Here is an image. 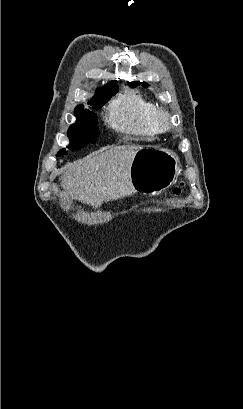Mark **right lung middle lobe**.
<instances>
[{"instance_id": "right-lung-middle-lobe-1", "label": "right lung middle lobe", "mask_w": 243, "mask_h": 409, "mask_svg": "<svg viewBox=\"0 0 243 409\" xmlns=\"http://www.w3.org/2000/svg\"><path fill=\"white\" fill-rule=\"evenodd\" d=\"M117 91L107 94L103 100L95 105H92L95 109L101 108L110 98L115 95ZM77 122L72 124L68 130V137L70 138L69 149L75 151L85 147L88 143H94V139L98 136L97 118L93 112L87 109H79L75 111ZM68 152L62 149L58 152L57 156L65 155Z\"/></svg>"}]
</instances>
